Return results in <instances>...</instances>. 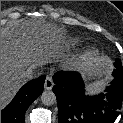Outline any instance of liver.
<instances>
[{
  "label": "liver",
  "instance_id": "liver-1",
  "mask_svg": "<svg viewBox=\"0 0 123 123\" xmlns=\"http://www.w3.org/2000/svg\"><path fill=\"white\" fill-rule=\"evenodd\" d=\"M65 36L57 24L40 19H20L1 29V110L26 83L24 72L64 57ZM93 67L88 75L98 74Z\"/></svg>",
  "mask_w": 123,
  "mask_h": 123
}]
</instances>
